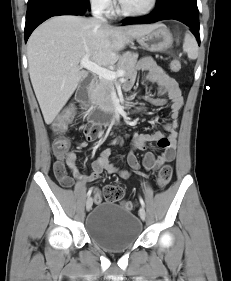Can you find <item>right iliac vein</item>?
I'll list each match as a JSON object with an SVG mask.
<instances>
[{"mask_svg":"<svg viewBox=\"0 0 231 281\" xmlns=\"http://www.w3.org/2000/svg\"><path fill=\"white\" fill-rule=\"evenodd\" d=\"M92 204H93L92 197H88V199L86 201V209H87V211H89L92 208Z\"/></svg>","mask_w":231,"mask_h":281,"instance_id":"right-iliac-vein-1","label":"right iliac vein"}]
</instances>
